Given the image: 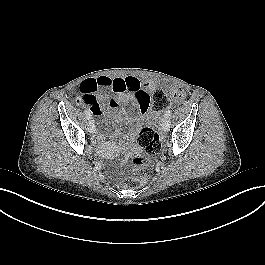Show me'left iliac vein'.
I'll return each mask as SVG.
<instances>
[{"mask_svg":"<svg viewBox=\"0 0 265 265\" xmlns=\"http://www.w3.org/2000/svg\"><path fill=\"white\" fill-rule=\"evenodd\" d=\"M169 128H170L169 120H168V118H164L162 120V129H163V131L167 132L169 130Z\"/></svg>","mask_w":265,"mask_h":265,"instance_id":"1","label":"left iliac vein"}]
</instances>
